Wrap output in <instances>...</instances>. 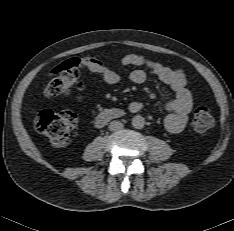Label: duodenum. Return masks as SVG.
I'll list each match as a JSON object with an SVG mask.
<instances>
[{
	"label": "duodenum",
	"mask_w": 234,
	"mask_h": 231,
	"mask_svg": "<svg viewBox=\"0 0 234 231\" xmlns=\"http://www.w3.org/2000/svg\"><path fill=\"white\" fill-rule=\"evenodd\" d=\"M123 115L124 111L121 109H116V108L104 109L96 116L95 121L97 125H102L113 119L120 118Z\"/></svg>",
	"instance_id": "obj_1"
}]
</instances>
